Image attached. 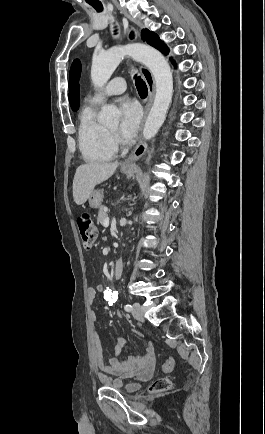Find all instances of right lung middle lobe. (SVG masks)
I'll return each mask as SVG.
<instances>
[{
  "instance_id": "dd1d6c3e",
  "label": "right lung middle lobe",
  "mask_w": 265,
  "mask_h": 434,
  "mask_svg": "<svg viewBox=\"0 0 265 434\" xmlns=\"http://www.w3.org/2000/svg\"><path fill=\"white\" fill-rule=\"evenodd\" d=\"M78 107H72L73 111H77Z\"/></svg>"
}]
</instances>
